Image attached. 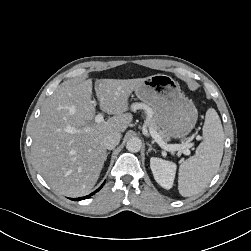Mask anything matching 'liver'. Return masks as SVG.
<instances>
[{
  "mask_svg": "<svg viewBox=\"0 0 251 251\" xmlns=\"http://www.w3.org/2000/svg\"><path fill=\"white\" fill-rule=\"evenodd\" d=\"M144 79L95 81L100 109L114 115L101 123L94 122L91 79L64 82L45 101L32 130V156L53 190L71 197L90 192L104 165V138L127 129L129 97Z\"/></svg>",
  "mask_w": 251,
  "mask_h": 251,
  "instance_id": "1",
  "label": "liver"
}]
</instances>
